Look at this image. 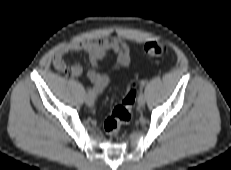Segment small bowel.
Listing matches in <instances>:
<instances>
[{
    "label": "small bowel",
    "mask_w": 231,
    "mask_h": 170,
    "mask_svg": "<svg viewBox=\"0 0 231 170\" xmlns=\"http://www.w3.org/2000/svg\"><path fill=\"white\" fill-rule=\"evenodd\" d=\"M113 51L118 55L117 61L112 67L113 71H120L131 66V47L117 37L95 41H77L60 47L53 56V66L59 71H68L73 77L83 76V68L79 64L68 66L65 57L74 52H83L88 57L90 68L87 72V78L93 83L95 95L101 94L110 84L109 75L101 74L98 68L104 56Z\"/></svg>",
    "instance_id": "small-bowel-1"
}]
</instances>
